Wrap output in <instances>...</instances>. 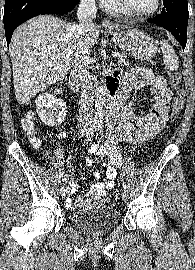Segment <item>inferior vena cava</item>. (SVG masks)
<instances>
[{
    "label": "inferior vena cava",
    "instance_id": "inferior-vena-cava-1",
    "mask_svg": "<svg viewBox=\"0 0 195 270\" xmlns=\"http://www.w3.org/2000/svg\"><path fill=\"white\" fill-rule=\"evenodd\" d=\"M97 8L95 0H81L78 10L77 18L79 23L74 26V52L72 57V64L76 69L78 77L82 81L81 85V107L80 114V128L84 131H89L93 119V96L90 91L89 79V31L94 26L93 19L96 18Z\"/></svg>",
    "mask_w": 195,
    "mask_h": 270
}]
</instances>
